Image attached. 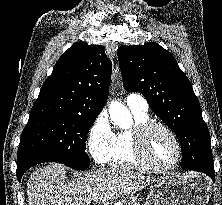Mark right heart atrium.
<instances>
[{
  "instance_id": "d8ad5b80",
  "label": "right heart atrium",
  "mask_w": 222,
  "mask_h": 205,
  "mask_svg": "<svg viewBox=\"0 0 222 205\" xmlns=\"http://www.w3.org/2000/svg\"><path fill=\"white\" fill-rule=\"evenodd\" d=\"M114 133L106 116L100 115L88 132V147L93 159L102 163L106 161L111 149Z\"/></svg>"
}]
</instances>
